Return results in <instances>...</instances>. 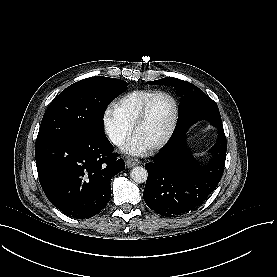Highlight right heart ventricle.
<instances>
[{
  "instance_id": "obj_1",
  "label": "right heart ventricle",
  "mask_w": 277,
  "mask_h": 277,
  "mask_svg": "<svg viewBox=\"0 0 277 277\" xmlns=\"http://www.w3.org/2000/svg\"><path fill=\"white\" fill-rule=\"evenodd\" d=\"M153 94L154 92L148 90H138L127 94L117 102V114L127 124H131Z\"/></svg>"
}]
</instances>
